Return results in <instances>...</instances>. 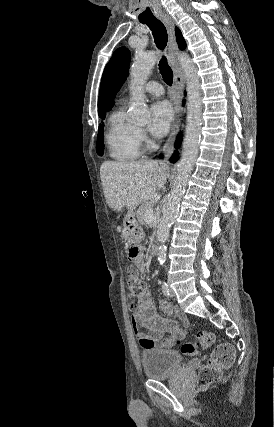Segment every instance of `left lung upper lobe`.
Listing matches in <instances>:
<instances>
[{
  "mask_svg": "<svg viewBox=\"0 0 274 427\" xmlns=\"http://www.w3.org/2000/svg\"><path fill=\"white\" fill-rule=\"evenodd\" d=\"M129 62L130 51L121 47L114 52L105 67L100 86V98L106 110H110L114 105L113 99L128 76Z\"/></svg>",
  "mask_w": 274,
  "mask_h": 427,
  "instance_id": "5c2ea615",
  "label": "left lung upper lobe"
}]
</instances>
